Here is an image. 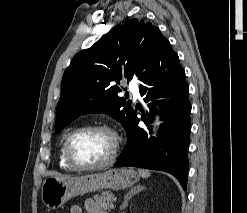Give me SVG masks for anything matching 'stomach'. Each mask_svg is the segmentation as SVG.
I'll use <instances>...</instances> for the list:
<instances>
[{"instance_id":"stomach-1","label":"stomach","mask_w":247,"mask_h":213,"mask_svg":"<svg viewBox=\"0 0 247 213\" xmlns=\"http://www.w3.org/2000/svg\"><path fill=\"white\" fill-rule=\"evenodd\" d=\"M139 178L136 172L125 168L69 178L50 176L42 184L41 199L47 208L54 210L75 196L103 188L124 189L135 184Z\"/></svg>"}]
</instances>
